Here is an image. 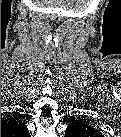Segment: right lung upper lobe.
Here are the masks:
<instances>
[{
	"mask_svg": "<svg viewBox=\"0 0 121 137\" xmlns=\"http://www.w3.org/2000/svg\"><path fill=\"white\" fill-rule=\"evenodd\" d=\"M3 132H25L27 133V128L24 126L18 118H7L1 122V133Z\"/></svg>",
	"mask_w": 121,
	"mask_h": 137,
	"instance_id": "right-lung-upper-lobe-1",
	"label": "right lung upper lobe"
}]
</instances>
